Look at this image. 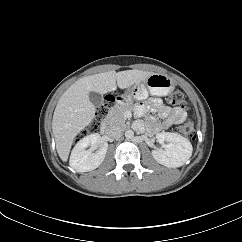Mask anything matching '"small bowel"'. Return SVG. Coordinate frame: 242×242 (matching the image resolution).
Returning a JSON list of instances; mask_svg holds the SVG:
<instances>
[{"label": "small bowel", "mask_w": 242, "mask_h": 242, "mask_svg": "<svg viewBox=\"0 0 242 242\" xmlns=\"http://www.w3.org/2000/svg\"><path fill=\"white\" fill-rule=\"evenodd\" d=\"M148 111L160 114V122L157 124L153 122L147 124L145 121L139 120L135 123V128L137 130L145 131L147 129H150L152 131L158 132L177 125L183 122L186 118V113L184 111L167 107L163 105L162 102L158 99H154L144 104H140L136 107L135 114L138 117H142Z\"/></svg>", "instance_id": "small-bowel-1"}]
</instances>
